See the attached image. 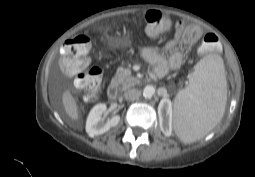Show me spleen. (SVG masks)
Returning a JSON list of instances; mask_svg holds the SVG:
<instances>
[{
  "label": "spleen",
  "mask_w": 255,
  "mask_h": 177,
  "mask_svg": "<svg viewBox=\"0 0 255 177\" xmlns=\"http://www.w3.org/2000/svg\"><path fill=\"white\" fill-rule=\"evenodd\" d=\"M227 101L225 67L219 55L210 54L194 67L189 86L174 101V130L184 143L207 135L221 120Z\"/></svg>",
  "instance_id": "1"
}]
</instances>
